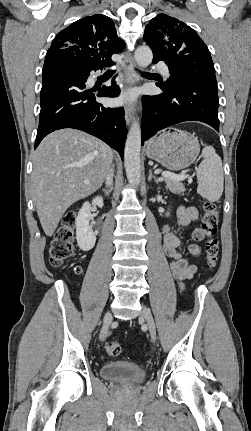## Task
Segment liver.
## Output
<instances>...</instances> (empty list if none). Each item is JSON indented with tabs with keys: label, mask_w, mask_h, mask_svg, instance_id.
Masks as SVG:
<instances>
[{
	"label": "liver",
	"mask_w": 251,
	"mask_h": 431,
	"mask_svg": "<svg viewBox=\"0 0 251 431\" xmlns=\"http://www.w3.org/2000/svg\"><path fill=\"white\" fill-rule=\"evenodd\" d=\"M113 157L106 143L75 129L55 131L42 140L34 153L31 182L46 236L53 235L72 204L101 187Z\"/></svg>",
	"instance_id": "6515ba94"
}]
</instances>
